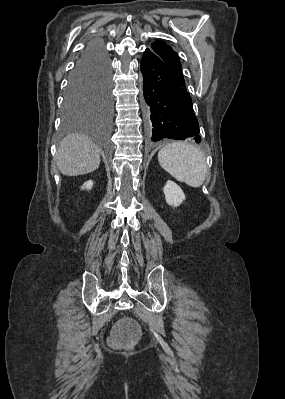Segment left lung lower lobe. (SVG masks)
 Here are the masks:
<instances>
[{"instance_id":"left-lung-lower-lobe-1","label":"left lung lower lobe","mask_w":285,"mask_h":399,"mask_svg":"<svg viewBox=\"0 0 285 399\" xmlns=\"http://www.w3.org/2000/svg\"><path fill=\"white\" fill-rule=\"evenodd\" d=\"M140 69L151 140L193 137L196 143H200L199 124L183 75L149 48L143 54Z\"/></svg>"}]
</instances>
